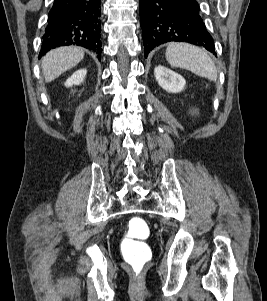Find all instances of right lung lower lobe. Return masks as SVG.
I'll return each mask as SVG.
<instances>
[{"mask_svg": "<svg viewBox=\"0 0 267 301\" xmlns=\"http://www.w3.org/2000/svg\"><path fill=\"white\" fill-rule=\"evenodd\" d=\"M100 0H55L49 12L39 58L49 50L78 45L101 55Z\"/></svg>", "mask_w": 267, "mask_h": 301, "instance_id": "right-lung-lower-lobe-1", "label": "right lung lower lobe"}]
</instances>
